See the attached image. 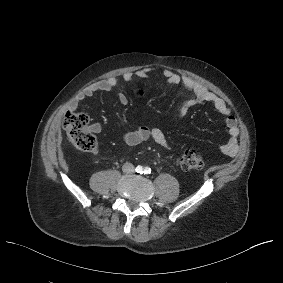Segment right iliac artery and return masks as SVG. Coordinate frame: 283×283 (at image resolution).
<instances>
[{
    "mask_svg": "<svg viewBox=\"0 0 283 283\" xmlns=\"http://www.w3.org/2000/svg\"><path fill=\"white\" fill-rule=\"evenodd\" d=\"M136 172H138V173H143V168H142V166H138L137 168H136Z\"/></svg>",
    "mask_w": 283,
    "mask_h": 283,
    "instance_id": "obj_1",
    "label": "right iliac artery"
}]
</instances>
